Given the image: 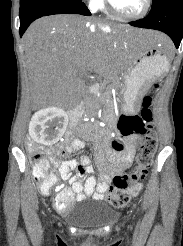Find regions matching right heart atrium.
<instances>
[{
  "mask_svg": "<svg viewBox=\"0 0 183 246\" xmlns=\"http://www.w3.org/2000/svg\"><path fill=\"white\" fill-rule=\"evenodd\" d=\"M91 9H97L102 0H86Z\"/></svg>",
  "mask_w": 183,
  "mask_h": 246,
  "instance_id": "1",
  "label": "right heart atrium"
}]
</instances>
